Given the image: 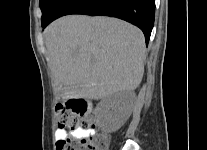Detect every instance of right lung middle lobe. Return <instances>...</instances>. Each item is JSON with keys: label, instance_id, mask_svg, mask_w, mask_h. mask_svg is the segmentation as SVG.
I'll return each mask as SVG.
<instances>
[{"label": "right lung middle lobe", "instance_id": "1", "mask_svg": "<svg viewBox=\"0 0 207 150\" xmlns=\"http://www.w3.org/2000/svg\"><path fill=\"white\" fill-rule=\"evenodd\" d=\"M62 2L63 0H40L39 5L42 11L41 22L45 23L49 21Z\"/></svg>", "mask_w": 207, "mask_h": 150}]
</instances>
